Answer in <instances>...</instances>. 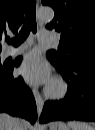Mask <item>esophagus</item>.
<instances>
[{"label":"esophagus","mask_w":95,"mask_h":130,"mask_svg":"<svg viewBox=\"0 0 95 130\" xmlns=\"http://www.w3.org/2000/svg\"><path fill=\"white\" fill-rule=\"evenodd\" d=\"M33 95H34V98L36 101L38 113L40 114L43 109L44 101H43L41 95L39 94L37 88H33Z\"/></svg>","instance_id":"1"}]
</instances>
